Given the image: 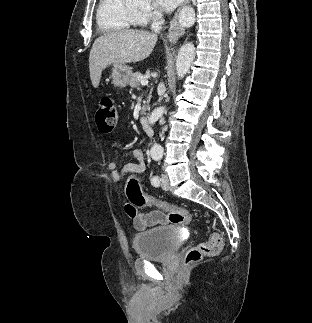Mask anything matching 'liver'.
Segmentation results:
<instances>
[{
	"mask_svg": "<svg viewBox=\"0 0 312 323\" xmlns=\"http://www.w3.org/2000/svg\"><path fill=\"white\" fill-rule=\"evenodd\" d=\"M157 34L143 30H119L108 32L95 40L89 56L90 80L98 88L103 70L108 66L142 62L150 56Z\"/></svg>",
	"mask_w": 312,
	"mask_h": 323,
	"instance_id": "liver-1",
	"label": "liver"
}]
</instances>
